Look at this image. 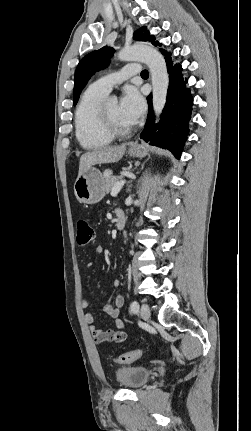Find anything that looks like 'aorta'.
<instances>
[{
    "label": "aorta",
    "instance_id": "1",
    "mask_svg": "<svg viewBox=\"0 0 251 431\" xmlns=\"http://www.w3.org/2000/svg\"><path fill=\"white\" fill-rule=\"evenodd\" d=\"M118 58L122 61L139 60L149 67L153 87L152 102L156 116L155 122H159L160 114L166 104L169 86L165 59L156 49L147 45H134L123 48L119 51ZM137 202L136 200L135 203Z\"/></svg>",
    "mask_w": 251,
    "mask_h": 431
}]
</instances>
